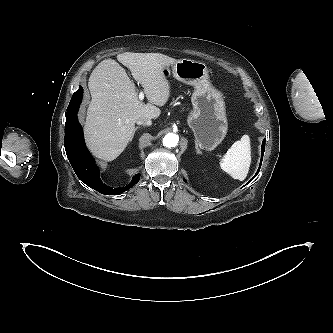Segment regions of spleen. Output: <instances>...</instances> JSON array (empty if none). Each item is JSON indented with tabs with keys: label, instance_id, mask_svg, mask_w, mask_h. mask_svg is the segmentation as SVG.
Instances as JSON below:
<instances>
[{
	"label": "spleen",
	"instance_id": "obj_1",
	"mask_svg": "<svg viewBox=\"0 0 333 333\" xmlns=\"http://www.w3.org/2000/svg\"><path fill=\"white\" fill-rule=\"evenodd\" d=\"M251 164V148L248 135L236 141L221 159L220 167L233 179L243 181Z\"/></svg>",
	"mask_w": 333,
	"mask_h": 333
}]
</instances>
